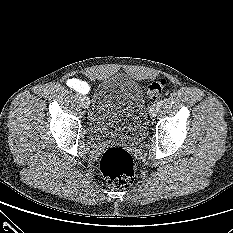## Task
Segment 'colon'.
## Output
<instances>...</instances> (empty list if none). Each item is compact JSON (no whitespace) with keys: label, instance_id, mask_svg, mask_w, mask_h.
<instances>
[{"label":"colon","instance_id":"obj_1","mask_svg":"<svg viewBox=\"0 0 233 233\" xmlns=\"http://www.w3.org/2000/svg\"><path fill=\"white\" fill-rule=\"evenodd\" d=\"M166 86L164 79L152 82L145 90L150 99L158 98ZM100 171L107 183L116 189L128 187L134 179V163L131 155L120 147H111L102 155Z\"/></svg>","mask_w":233,"mask_h":233}]
</instances>
